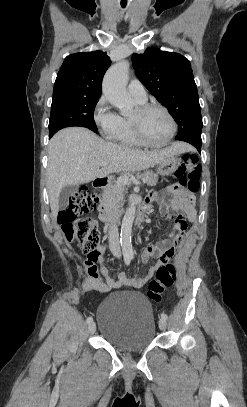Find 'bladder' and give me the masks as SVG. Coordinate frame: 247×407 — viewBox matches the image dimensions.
<instances>
[{"instance_id":"31cf9c89","label":"bladder","mask_w":247,"mask_h":407,"mask_svg":"<svg viewBox=\"0 0 247 407\" xmlns=\"http://www.w3.org/2000/svg\"><path fill=\"white\" fill-rule=\"evenodd\" d=\"M104 340L125 353H138L155 339V322L149 300L136 291L107 296L97 310Z\"/></svg>"}]
</instances>
